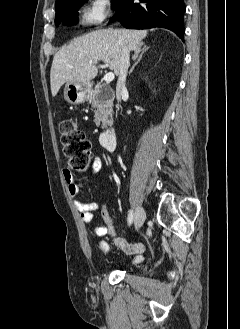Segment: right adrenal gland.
<instances>
[{
  "label": "right adrenal gland",
  "mask_w": 240,
  "mask_h": 329,
  "mask_svg": "<svg viewBox=\"0 0 240 329\" xmlns=\"http://www.w3.org/2000/svg\"><path fill=\"white\" fill-rule=\"evenodd\" d=\"M142 45H143V44H142ZM142 45H141V46H142ZM146 50H148V47H146L145 45H144L142 48L139 47L138 49L135 50V53H134L132 59H133V60H135L136 58H138V59H137L136 63L132 66V68L130 69L129 74H131V73L133 72L135 66L140 62V60H141V58H142V55L144 54V52H145Z\"/></svg>",
  "instance_id": "right-adrenal-gland-1"
}]
</instances>
